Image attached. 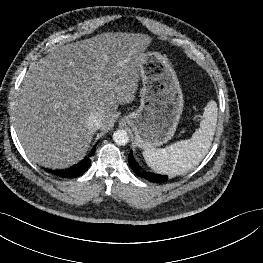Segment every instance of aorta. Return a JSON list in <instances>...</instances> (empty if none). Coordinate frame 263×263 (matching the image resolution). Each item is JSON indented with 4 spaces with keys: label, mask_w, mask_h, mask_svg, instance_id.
<instances>
[{
    "label": "aorta",
    "mask_w": 263,
    "mask_h": 263,
    "mask_svg": "<svg viewBox=\"0 0 263 263\" xmlns=\"http://www.w3.org/2000/svg\"><path fill=\"white\" fill-rule=\"evenodd\" d=\"M113 140L117 145H126L129 142V136L126 130L118 129L113 133Z\"/></svg>",
    "instance_id": "aorta-1"
}]
</instances>
